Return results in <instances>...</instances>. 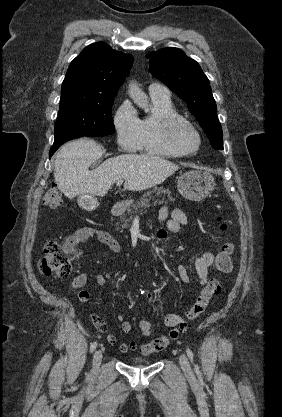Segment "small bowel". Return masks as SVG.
I'll return each mask as SVG.
<instances>
[{"instance_id": "small-bowel-1", "label": "small bowel", "mask_w": 282, "mask_h": 417, "mask_svg": "<svg viewBox=\"0 0 282 417\" xmlns=\"http://www.w3.org/2000/svg\"><path fill=\"white\" fill-rule=\"evenodd\" d=\"M169 209L166 206H162L158 211V218L160 222L165 224V228L161 229L158 232V240H162L167 232L178 234L182 231L183 227L187 224V218L184 212L180 209H174L171 213V218H169ZM96 238L102 244L106 245L113 253L121 254L122 247L119 242L113 238L107 231L92 227V226H83L77 229L74 233L68 236L66 243L70 247L82 243L88 239ZM215 255L211 252H204L198 255L194 260V268L198 275L201 285H204L209 279V269L212 267ZM177 273L182 282L188 283L191 280V275L188 268L185 265H179L177 268ZM89 278L88 273H81L77 275L70 283L69 288L71 290H79L78 299L82 303H86L90 299V293L88 290L84 289ZM93 278L97 285L105 286L107 283L106 276L100 272H94ZM148 299L153 300V295L148 291ZM176 318H182V315L175 313H167L162 318V323L166 327L171 328V324L175 323ZM91 319L98 331L106 334V339L110 344H115L117 342V337L108 331V326L106 322L97 314L91 313ZM117 321L120 323L121 330L125 334H131L133 331L132 324L126 319L124 313H118L116 316ZM139 327L141 334L144 337L151 338L155 336V324L151 320H141L139 322ZM157 339V338H156ZM140 344L132 339L126 342H122L119 345V351L122 354H127L130 352H135L139 349Z\"/></svg>"}]
</instances>
